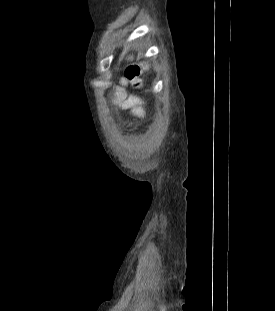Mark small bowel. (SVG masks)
Here are the masks:
<instances>
[{
    "label": "small bowel",
    "mask_w": 275,
    "mask_h": 311,
    "mask_svg": "<svg viewBox=\"0 0 275 311\" xmlns=\"http://www.w3.org/2000/svg\"><path fill=\"white\" fill-rule=\"evenodd\" d=\"M127 85V80H121V86L117 89L115 97L117 104L123 109H131L136 115H142L143 111L140 107L142 100L136 95H131L126 92L125 86Z\"/></svg>",
    "instance_id": "small-bowel-1"
}]
</instances>
